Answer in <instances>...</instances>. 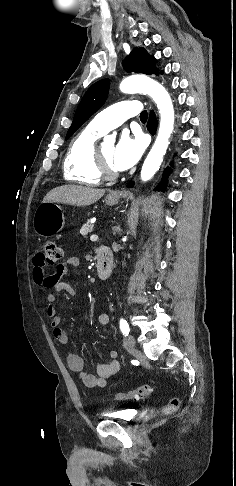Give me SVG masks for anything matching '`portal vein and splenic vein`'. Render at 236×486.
Instances as JSON below:
<instances>
[{
  "mask_svg": "<svg viewBox=\"0 0 236 486\" xmlns=\"http://www.w3.org/2000/svg\"><path fill=\"white\" fill-rule=\"evenodd\" d=\"M97 239H98V235H96V234H93V235L90 236L91 241H96Z\"/></svg>",
  "mask_w": 236,
  "mask_h": 486,
  "instance_id": "18ae733b",
  "label": "portal vein and splenic vein"
}]
</instances>
